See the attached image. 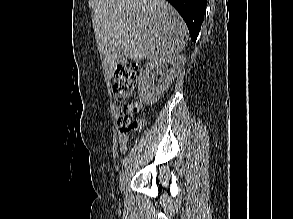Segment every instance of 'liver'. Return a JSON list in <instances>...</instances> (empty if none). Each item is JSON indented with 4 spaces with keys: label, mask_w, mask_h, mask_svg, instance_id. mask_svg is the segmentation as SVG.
I'll return each mask as SVG.
<instances>
[{
    "label": "liver",
    "mask_w": 293,
    "mask_h": 219,
    "mask_svg": "<svg viewBox=\"0 0 293 219\" xmlns=\"http://www.w3.org/2000/svg\"><path fill=\"white\" fill-rule=\"evenodd\" d=\"M94 31L110 77L119 50L131 60L178 55L188 37L183 19L165 0H98Z\"/></svg>",
    "instance_id": "6515ba94"
}]
</instances>
